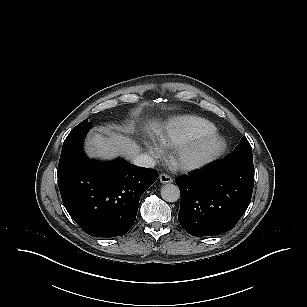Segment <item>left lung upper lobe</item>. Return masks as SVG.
Masks as SVG:
<instances>
[{"instance_id":"obj_1","label":"left lung upper lobe","mask_w":307,"mask_h":307,"mask_svg":"<svg viewBox=\"0 0 307 307\" xmlns=\"http://www.w3.org/2000/svg\"><path fill=\"white\" fill-rule=\"evenodd\" d=\"M225 162L253 165L252 148L246 137H243L234 151L223 158Z\"/></svg>"}]
</instances>
